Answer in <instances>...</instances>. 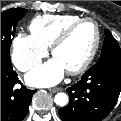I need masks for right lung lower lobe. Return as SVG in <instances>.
Here are the masks:
<instances>
[{
    "label": "right lung lower lobe",
    "mask_w": 121,
    "mask_h": 121,
    "mask_svg": "<svg viewBox=\"0 0 121 121\" xmlns=\"http://www.w3.org/2000/svg\"><path fill=\"white\" fill-rule=\"evenodd\" d=\"M17 84H21V88H17ZM35 92L18 80L10 59L1 58V121H22Z\"/></svg>",
    "instance_id": "1"
}]
</instances>
